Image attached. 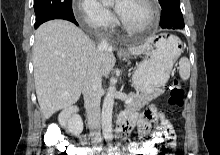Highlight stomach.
I'll list each match as a JSON object with an SVG mask.
<instances>
[{
  "label": "stomach",
  "instance_id": "0dacf381",
  "mask_svg": "<svg viewBox=\"0 0 220 155\" xmlns=\"http://www.w3.org/2000/svg\"><path fill=\"white\" fill-rule=\"evenodd\" d=\"M180 39L174 35L157 36L150 43L146 58L137 66L132 85L141 94L155 95L163 90L170 78L176 58L180 55Z\"/></svg>",
  "mask_w": 220,
  "mask_h": 155
}]
</instances>
